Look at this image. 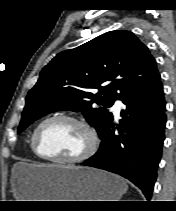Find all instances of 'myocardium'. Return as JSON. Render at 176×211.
I'll use <instances>...</instances> for the list:
<instances>
[{"mask_svg":"<svg viewBox=\"0 0 176 211\" xmlns=\"http://www.w3.org/2000/svg\"><path fill=\"white\" fill-rule=\"evenodd\" d=\"M55 120L70 121L81 126L85 130V132L88 135V146L83 151V153L72 158H60V157L48 156L41 152L39 143H38L39 132L44 125ZM31 140H32L33 150L39 158L46 161H52V162H57L61 164H74V163H80V162L85 161L96 152L98 148V143H99L97 132L87 121L77 116L64 114V113L54 114L42 120L34 129Z\"/></svg>","mask_w":176,"mask_h":211,"instance_id":"myocardium-1","label":"myocardium"}]
</instances>
